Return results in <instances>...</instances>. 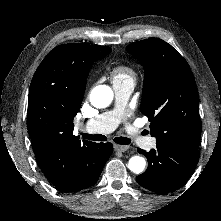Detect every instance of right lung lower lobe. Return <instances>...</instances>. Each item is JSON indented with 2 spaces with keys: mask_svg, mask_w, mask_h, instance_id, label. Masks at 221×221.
<instances>
[{
  "mask_svg": "<svg viewBox=\"0 0 221 221\" xmlns=\"http://www.w3.org/2000/svg\"><path fill=\"white\" fill-rule=\"evenodd\" d=\"M113 152L111 143H97L92 153L84 160L81 166L79 181L65 192H76L93 186Z\"/></svg>",
  "mask_w": 221,
  "mask_h": 221,
  "instance_id": "98d812e1",
  "label": "right lung lower lobe"
}]
</instances>
